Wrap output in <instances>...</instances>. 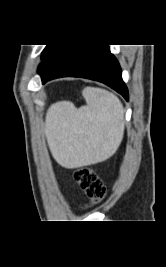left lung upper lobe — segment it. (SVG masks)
<instances>
[{
	"mask_svg": "<svg viewBox=\"0 0 166 267\" xmlns=\"http://www.w3.org/2000/svg\"><path fill=\"white\" fill-rule=\"evenodd\" d=\"M55 45H47L44 49V51L42 52V57L41 59L43 60L45 58V56L51 51V49L54 47Z\"/></svg>",
	"mask_w": 166,
	"mask_h": 267,
	"instance_id": "5c2ea615",
	"label": "left lung upper lobe"
}]
</instances>
